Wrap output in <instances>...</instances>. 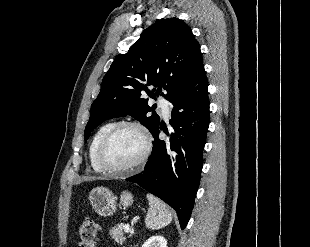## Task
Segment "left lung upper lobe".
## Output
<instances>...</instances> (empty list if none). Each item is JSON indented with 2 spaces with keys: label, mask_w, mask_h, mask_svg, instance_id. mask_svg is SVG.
I'll return each mask as SVG.
<instances>
[{
  "label": "left lung upper lobe",
  "mask_w": 310,
  "mask_h": 247,
  "mask_svg": "<svg viewBox=\"0 0 310 247\" xmlns=\"http://www.w3.org/2000/svg\"><path fill=\"white\" fill-rule=\"evenodd\" d=\"M202 66L200 46L190 27L177 18L157 21L127 53L116 56L91 106L85 139L103 121L128 114L153 133L160 118L145 98L155 96V89L148 87H157V95L166 90L161 95L170 100Z\"/></svg>",
  "instance_id": "5c2ea615"
}]
</instances>
